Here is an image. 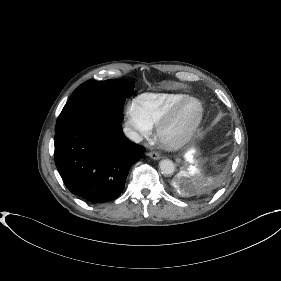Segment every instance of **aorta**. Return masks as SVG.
I'll list each match as a JSON object with an SVG mask.
<instances>
[{
	"mask_svg": "<svg viewBox=\"0 0 281 281\" xmlns=\"http://www.w3.org/2000/svg\"><path fill=\"white\" fill-rule=\"evenodd\" d=\"M159 168L164 175H172L175 172V165L171 160H161Z\"/></svg>",
	"mask_w": 281,
	"mask_h": 281,
	"instance_id": "obj_1",
	"label": "aorta"
}]
</instances>
